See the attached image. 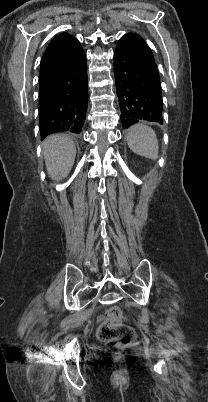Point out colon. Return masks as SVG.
I'll list each match as a JSON object with an SVG mask.
<instances>
[{
	"label": "colon",
	"mask_w": 208,
	"mask_h": 402,
	"mask_svg": "<svg viewBox=\"0 0 208 402\" xmlns=\"http://www.w3.org/2000/svg\"><path fill=\"white\" fill-rule=\"evenodd\" d=\"M109 318L104 319L98 326V337L108 342L111 347L125 343L135 336L132 324H121V312L117 308H111L107 312Z\"/></svg>",
	"instance_id": "colon-1"
}]
</instances>
